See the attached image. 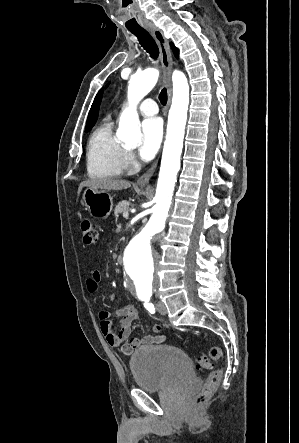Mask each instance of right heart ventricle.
Listing matches in <instances>:
<instances>
[{
  "label": "right heart ventricle",
  "mask_w": 299,
  "mask_h": 443,
  "mask_svg": "<svg viewBox=\"0 0 299 443\" xmlns=\"http://www.w3.org/2000/svg\"><path fill=\"white\" fill-rule=\"evenodd\" d=\"M125 148L112 132V124L105 122L91 134L87 146V172L97 179L115 178L122 174Z\"/></svg>",
  "instance_id": "obj_1"
}]
</instances>
